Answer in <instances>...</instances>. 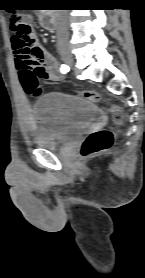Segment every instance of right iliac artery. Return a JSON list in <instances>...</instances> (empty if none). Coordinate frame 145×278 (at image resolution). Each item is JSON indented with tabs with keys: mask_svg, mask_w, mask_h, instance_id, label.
<instances>
[{
	"mask_svg": "<svg viewBox=\"0 0 145 278\" xmlns=\"http://www.w3.org/2000/svg\"><path fill=\"white\" fill-rule=\"evenodd\" d=\"M60 71H61V73L66 74L69 71V66L64 65V64L61 65Z\"/></svg>",
	"mask_w": 145,
	"mask_h": 278,
	"instance_id": "obj_1",
	"label": "right iliac artery"
}]
</instances>
